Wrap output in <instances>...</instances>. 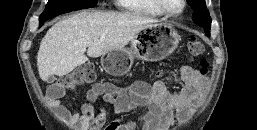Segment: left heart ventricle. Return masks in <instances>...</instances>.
I'll use <instances>...</instances> for the list:
<instances>
[{"instance_id": "1", "label": "left heart ventricle", "mask_w": 257, "mask_h": 130, "mask_svg": "<svg viewBox=\"0 0 257 130\" xmlns=\"http://www.w3.org/2000/svg\"><path fill=\"white\" fill-rule=\"evenodd\" d=\"M166 7L174 12H177L182 7V0H163Z\"/></svg>"}]
</instances>
